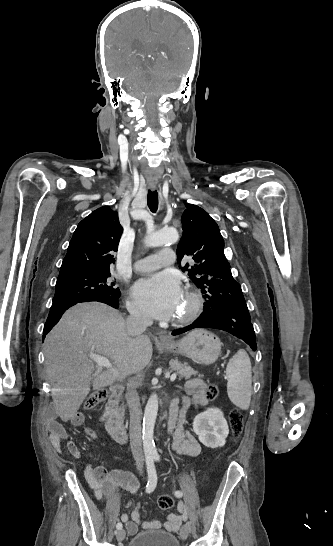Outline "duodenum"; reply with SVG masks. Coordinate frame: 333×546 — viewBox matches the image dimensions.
Instances as JSON below:
<instances>
[{"label":"duodenum","instance_id":"duodenum-1","mask_svg":"<svg viewBox=\"0 0 333 546\" xmlns=\"http://www.w3.org/2000/svg\"><path fill=\"white\" fill-rule=\"evenodd\" d=\"M121 394V386L115 385L110 388L109 398L105 408L106 427L108 433L115 441L126 443L128 441V430L119 410Z\"/></svg>","mask_w":333,"mask_h":546}]
</instances>
